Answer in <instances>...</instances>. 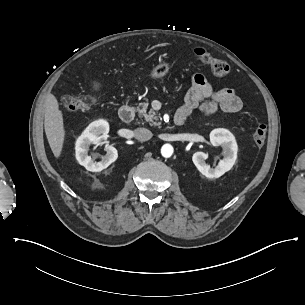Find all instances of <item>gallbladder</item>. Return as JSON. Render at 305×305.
I'll return each instance as SVG.
<instances>
[{
    "mask_svg": "<svg viewBox=\"0 0 305 305\" xmlns=\"http://www.w3.org/2000/svg\"><path fill=\"white\" fill-rule=\"evenodd\" d=\"M89 87L93 92H100L103 88V83L97 79H91L89 81Z\"/></svg>",
    "mask_w": 305,
    "mask_h": 305,
    "instance_id": "bac80fb5",
    "label": "gallbladder"
}]
</instances>
